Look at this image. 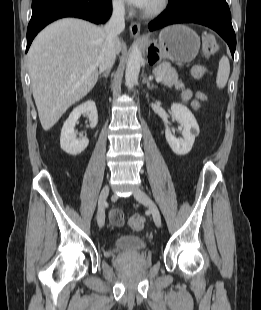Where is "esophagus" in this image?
<instances>
[{"instance_id": "esophagus-1", "label": "esophagus", "mask_w": 261, "mask_h": 310, "mask_svg": "<svg viewBox=\"0 0 261 310\" xmlns=\"http://www.w3.org/2000/svg\"><path fill=\"white\" fill-rule=\"evenodd\" d=\"M130 34L134 38L143 39L140 33V24L137 22H132L130 24Z\"/></svg>"}]
</instances>
